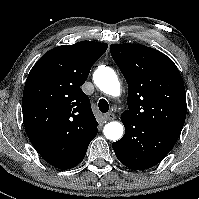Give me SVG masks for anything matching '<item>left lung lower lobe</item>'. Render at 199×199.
<instances>
[{
	"label": "left lung lower lobe",
	"instance_id": "0a47b994",
	"mask_svg": "<svg viewBox=\"0 0 199 199\" xmlns=\"http://www.w3.org/2000/svg\"><path fill=\"white\" fill-rule=\"evenodd\" d=\"M126 133L112 144L118 160L126 167L144 170L158 164L172 150L177 139L128 118L122 120Z\"/></svg>",
	"mask_w": 199,
	"mask_h": 199
}]
</instances>
